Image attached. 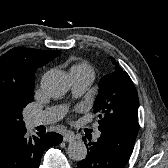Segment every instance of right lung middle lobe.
Instances as JSON below:
<instances>
[{
    "mask_svg": "<svg viewBox=\"0 0 168 168\" xmlns=\"http://www.w3.org/2000/svg\"><path fill=\"white\" fill-rule=\"evenodd\" d=\"M33 99H34V86L21 92L18 102L16 103V105L9 114L13 122L17 123L19 126L25 127L22 111L23 108H25V106L28 103L33 101Z\"/></svg>",
    "mask_w": 168,
    "mask_h": 168,
    "instance_id": "obj_1",
    "label": "right lung middle lobe"
}]
</instances>
